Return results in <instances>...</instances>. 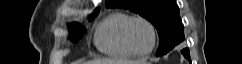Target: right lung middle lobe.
Here are the masks:
<instances>
[{
    "label": "right lung middle lobe",
    "instance_id": "obj_1",
    "mask_svg": "<svg viewBox=\"0 0 242 64\" xmlns=\"http://www.w3.org/2000/svg\"><path fill=\"white\" fill-rule=\"evenodd\" d=\"M99 12V11H98ZM98 12H94L90 17L89 20H93L95 16L98 14ZM85 32V28L80 24H72L70 26V39L74 42L78 41L79 38L83 35Z\"/></svg>",
    "mask_w": 242,
    "mask_h": 64
}]
</instances>
